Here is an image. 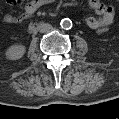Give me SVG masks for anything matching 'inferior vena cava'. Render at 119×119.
<instances>
[{
  "label": "inferior vena cava",
  "mask_w": 119,
  "mask_h": 119,
  "mask_svg": "<svg viewBox=\"0 0 119 119\" xmlns=\"http://www.w3.org/2000/svg\"><path fill=\"white\" fill-rule=\"evenodd\" d=\"M41 33H46L52 30V25L48 24V23H44L40 26L39 28Z\"/></svg>",
  "instance_id": "1"
}]
</instances>
